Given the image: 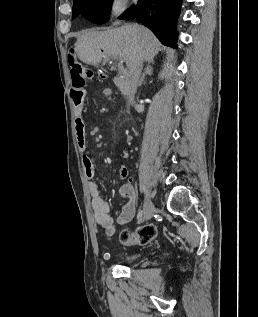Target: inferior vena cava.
<instances>
[{
    "label": "inferior vena cava",
    "instance_id": "602c4592",
    "mask_svg": "<svg viewBox=\"0 0 258 317\" xmlns=\"http://www.w3.org/2000/svg\"><path fill=\"white\" fill-rule=\"evenodd\" d=\"M143 60L141 56H137L134 64L130 66V82H129V88H128V100L131 102V104H134V94L136 92V88L138 86L141 70H142V64Z\"/></svg>",
    "mask_w": 258,
    "mask_h": 317
}]
</instances>
